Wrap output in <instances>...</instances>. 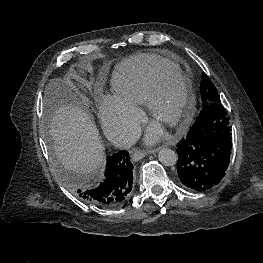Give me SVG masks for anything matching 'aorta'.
I'll list each match as a JSON object with an SVG mask.
<instances>
[{
    "label": "aorta",
    "mask_w": 263,
    "mask_h": 263,
    "mask_svg": "<svg viewBox=\"0 0 263 263\" xmlns=\"http://www.w3.org/2000/svg\"><path fill=\"white\" fill-rule=\"evenodd\" d=\"M158 159L165 166H173L176 164L178 156L173 150L162 148L158 153Z\"/></svg>",
    "instance_id": "obj_1"
}]
</instances>
